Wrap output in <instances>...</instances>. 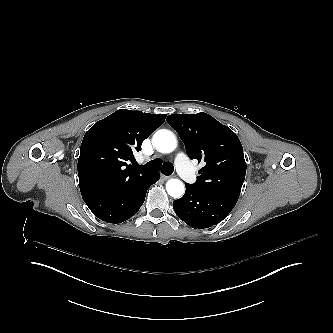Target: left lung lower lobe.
Wrapping results in <instances>:
<instances>
[{
	"mask_svg": "<svg viewBox=\"0 0 333 333\" xmlns=\"http://www.w3.org/2000/svg\"><path fill=\"white\" fill-rule=\"evenodd\" d=\"M182 198L173 202L178 217L193 228L203 229L220 223L234 208L238 199L202 192L193 184L185 183Z\"/></svg>",
	"mask_w": 333,
	"mask_h": 333,
	"instance_id": "left-lung-lower-lobe-1",
	"label": "left lung lower lobe"
}]
</instances>
